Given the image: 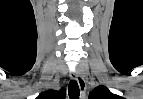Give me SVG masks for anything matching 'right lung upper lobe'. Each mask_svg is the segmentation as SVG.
I'll return each instance as SVG.
<instances>
[{
  "instance_id": "obj_1",
  "label": "right lung upper lobe",
  "mask_w": 143,
  "mask_h": 99,
  "mask_svg": "<svg viewBox=\"0 0 143 99\" xmlns=\"http://www.w3.org/2000/svg\"><path fill=\"white\" fill-rule=\"evenodd\" d=\"M64 99L65 90L61 89L59 91L49 90L44 93H41L36 99Z\"/></svg>"
}]
</instances>
